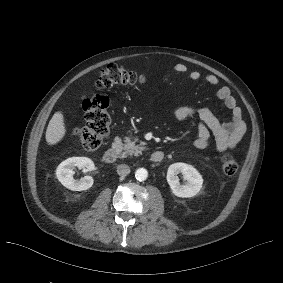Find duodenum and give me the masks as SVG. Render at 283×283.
<instances>
[{
	"label": "duodenum",
	"mask_w": 283,
	"mask_h": 283,
	"mask_svg": "<svg viewBox=\"0 0 283 283\" xmlns=\"http://www.w3.org/2000/svg\"><path fill=\"white\" fill-rule=\"evenodd\" d=\"M121 149V143L119 140H115L113 145L107 149L103 154V160L105 163H114L119 158V153ZM164 159V153L161 151H154L151 156L150 160L155 163H159Z\"/></svg>",
	"instance_id": "obj_1"
}]
</instances>
